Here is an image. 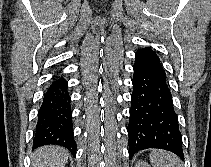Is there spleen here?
Returning a JSON list of instances; mask_svg holds the SVG:
<instances>
[{
	"label": "spleen",
	"instance_id": "obj_1",
	"mask_svg": "<svg viewBox=\"0 0 211 167\" xmlns=\"http://www.w3.org/2000/svg\"><path fill=\"white\" fill-rule=\"evenodd\" d=\"M149 157L152 167H182L180 158L171 152L153 150Z\"/></svg>",
	"mask_w": 211,
	"mask_h": 167
}]
</instances>
